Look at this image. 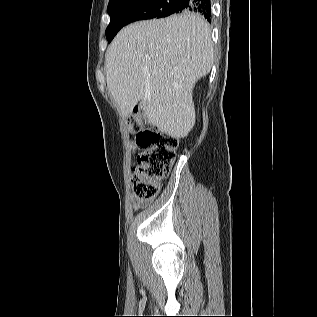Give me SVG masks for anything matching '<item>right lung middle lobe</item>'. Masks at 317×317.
I'll list each match as a JSON object with an SVG mask.
<instances>
[{"instance_id": "1", "label": "right lung middle lobe", "mask_w": 317, "mask_h": 317, "mask_svg": "<svg viewBox=\"0 0 317 317\" xmlns=\"http://www.w3.org/2000/svg\"><path fill=\"white\" fill-rule=\"evenodd\" d=\"M175 0H110L108 13L110 23L105 31L110 43L125 25L152 18H162L177 12ZM190 14L191 12H181Z\"/></svg>"}]
</instances>
